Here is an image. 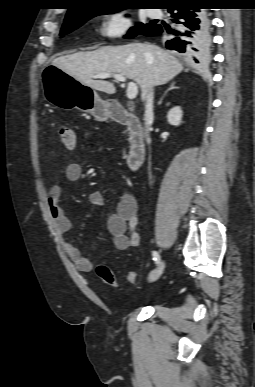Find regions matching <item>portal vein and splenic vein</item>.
Segmentation results:
<instances>
[{
  "label": "portal vein and splenic vein",
  "mask_w": 255,
  "mask_h": 387,
  "mask_svg": "<svg viewBox=\"0 0 255 387\" xmlns=\"http://www.w3.org/2000/svg\"><path fill=\"white\" fill-rule=\"evenodd\" d=\"M110 76H113L117 81H121V82H125L126 81V77H124L123 75L121 74H110V73H100V74H97L96 76H94L95 78H100V79H105V78H108ZM138 94V86L136 83L134 82H129L128 83V87H127V98L129 100H133L136 98Z\"/></svg>",
  "instance_id": "18ae733b"
}]
</instances>
